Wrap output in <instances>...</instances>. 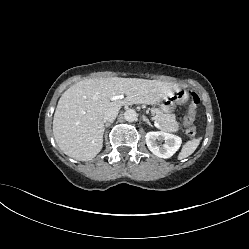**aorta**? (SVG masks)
I'll return each mask as SVG.
<instances>
[{
	"label": "aorta",
	"mask_w": 249,
	"mask_h": 249,
	"mask_svg": "<svg viewBox=\"0 0 249 249\" xmlns=\"http://www.w3.org/2000/svg\"><path fill=\"white\" fill-rule=\"evenodd\" d=\"M124 118L128 122H133L137 119V113L133 109H128L124 113Z\"/></svg>",
	"instance_id": "obj_1"
}]
</instances>
